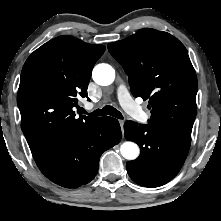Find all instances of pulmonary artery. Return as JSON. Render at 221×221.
Instances as JSON below:
<instances>
[{"label":"pulmonary artery","instance_id":"1","mask_svg":"<svg viewBox=\"0 0 221 221\" xmlns=\"http://www.w3.org/2000/svg\"><path fill=\"white\" fill-rule=\"evenodd\" d=\"M117 95L121 106L136 120L145 122L148 119L147 114L132 99L128 89L124 84H120L117 88Z\"/></svg>","mask_w":221,"mask_h":221}]
</instances>
